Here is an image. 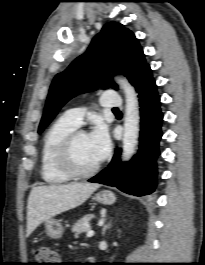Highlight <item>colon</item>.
<instances>
[{
  "label": "colon",
  "instance_id": "1",
  "mask_svg": "<svg viewBox=\"0 0 205 265\" xmlns=\"http://www.w3.org/2000/svg\"><path fill=\"white\" fill-rule=\"evenodd\" d=\"M35 258L39 262L38 265H56L59 256L54 250L47 247H41L36 250Z\"/></svg>",
  "mask_w": 205,
  "mask_h": 265
}]
</instances>
